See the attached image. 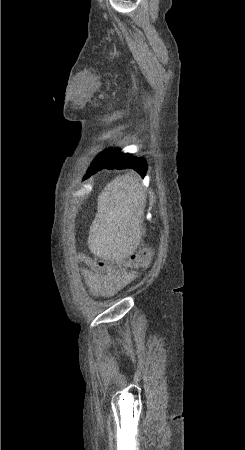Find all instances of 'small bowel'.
Here are the masks:
<instances>
[{"label": "small bowel", "mask_w": 245, "mask_h": 450, "mask_svg": "<svg viewBox=\"0 0 245 450\" xmlns=\"http://www.w3.org/2000/svg\"><path fill=\"white\" fill-rule=\"evenodd\" d=\"M81 260L86 263L85 259L81 258ZM80 272L92 293L96 295L115 293L129 284L137 276L135 271L118 273L113 270L98 275L85 267L81 268Z\"/></svg>", "instance_id": "c3829d8e"}]
</instances>
